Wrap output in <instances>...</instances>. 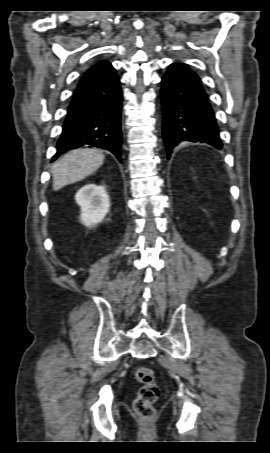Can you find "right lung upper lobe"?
<instances>
[{
  "instance_id": "obj_1",
  "label": "right lung upper lobe",
  "mask_w": 270,
  "mask_h": 453,
  "mask_svg": "<svg viewBox=\"0 0 270 453\" xmlns=\"http://www.w3.org/2000/svg\"><path fill=\"white\" fill-rule=\"evenodd\" d=\"M110 67H112V65L108 61H106V60L99 61L96 65L89 68L85 72L82 79L79 81V84L99 77L100 75H102L104 73L105 70H107Z\"/></svg>"
}]
</instances>
